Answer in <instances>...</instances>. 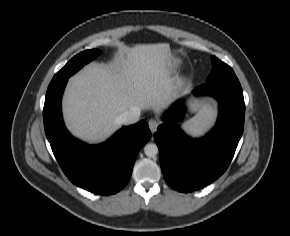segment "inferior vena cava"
I'll use <instances>...</instances> for the list:
<instances>
[{
  "label": "inferior vena cava",
  "mask_w": 290,
  "mask_h": 236,
  "mask_svg": "<svg viewBox=\"0 0 290 236\" xmlns=\"http://www.w3.org/2000/svg\"><path fill=\"white\" fill-rule=\"evenodd\" d=\"M140 113L141 110L134 107L122 113L119 117V120L124 124H133L138 121Z\"/></svg>",
  "instance_id": "1"
}]
</instances>
